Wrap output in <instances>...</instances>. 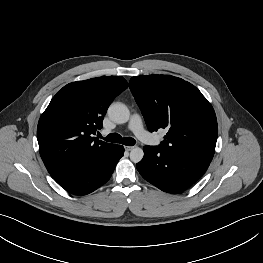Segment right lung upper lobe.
Segmentation results:
<instances>
[{"label": "right lung upper lobe", "mask_w": 263, "mask_h": 263, "mask_svg": "<svg viewBox=\"0 0 263 263\" xmlns=\"http://www.w3.org/2000/svg\"><path fill=\"white\" fill-rule=\"evenodd\" d=\"M128 87L121 76L97 77L64 86L41 115L37 139L41 158L58 182L115 144L93 137L114 97Z\"/></svg>", "instance_id": "1"}]
</instances>
